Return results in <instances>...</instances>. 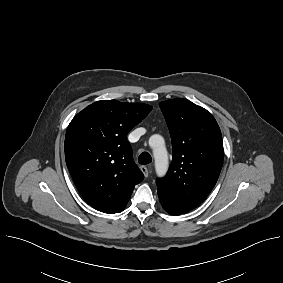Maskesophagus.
<instances>
[{
	"mask_svg": "<svg viewBox=\"0 0 283 283\" xmlns=\"http://www.w3.org/2000/svg\"><path fill=\"white\" fill-rule=\"evenodd\" d=\"M140 169H141L142 173L144 174V176L148 177V175H149V168L146 167V166H141Z\"/></svg>",
	"mask_w": 283,
	"mask_h": 283,
	"instance_id": "esophagus-1",
	"label": "esophagus"
}]
</instances>
